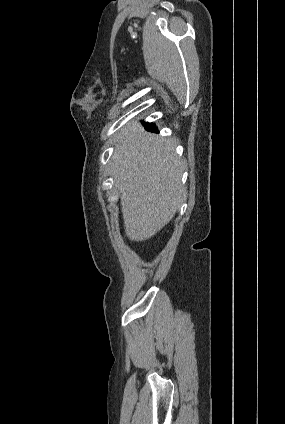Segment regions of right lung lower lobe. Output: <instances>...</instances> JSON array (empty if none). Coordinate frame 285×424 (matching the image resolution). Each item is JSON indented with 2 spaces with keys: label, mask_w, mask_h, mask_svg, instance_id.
Here are the masks:
<instances>
[{
  "label": "right lung lower lobe",
  "mask_w": 285,
  "mask_h": 424,
  "mask_svg": "<svg viewBox=\"0 0 285 424\" xmlns=\"http://www.w3.org/2000/svg\"><path fill=\"white\" fill-rule=\"evenodd\" d=\"M146 129L150 131H156V127L152 123H146Z\"/></svg>",
  "instance_id": "right-lung-lower-lobe-1"
}]
</instances>
